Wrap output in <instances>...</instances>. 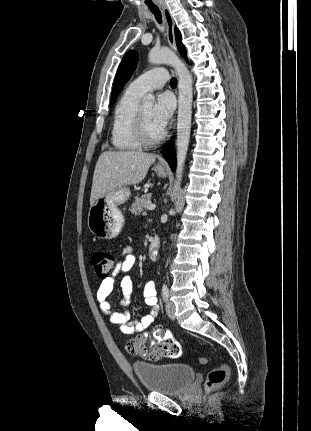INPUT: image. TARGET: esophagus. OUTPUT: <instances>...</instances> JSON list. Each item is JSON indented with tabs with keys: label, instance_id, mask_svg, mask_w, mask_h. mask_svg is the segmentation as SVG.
I'll return each mask as SVG.
<instances>
[{
	"label": "esophagus",
	"instance_id": "1",
	"mask_svg": "<svg viewBox=\"0 0 311 431\" xmlns=\"http://www.w3.org/2000/svg\"><path fill=\"white\" fill-rule=\"evenodd\" d=\"M160 8L163 12V16L166 22V32H167V40L174 52H177L176 43H175V36H174V20L170 13V10L168 9L167 5H160ZM158 162L160 164H164L163 158H159Z\"/></svg>",
	"mask_w": 311,
	"mask_h": 431
}]
</instances>
